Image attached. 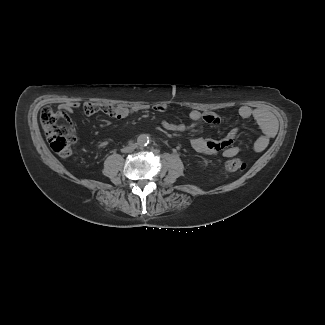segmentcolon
Segmentation results:
<instances>
[{
  "label": "colon",
  "mask_w": 325,
  "mask_h": 325,
  "mask_svg": "<svg viewBox=\"0 0 325 325\" xmlns=\"http://www.w3.org/2000/svg\"><path fill=\"white\" fill-rule=\"evenodd\" d=\"M40 121L47 136L50 147L61 157H69L77 142L72 127L59 111L44 107L40 112ZM246 167L239 158H231L224 162L223 171L237 172Z\"/></svg>",
  "instance_id": "5ec220e1"
}]
</instances>
